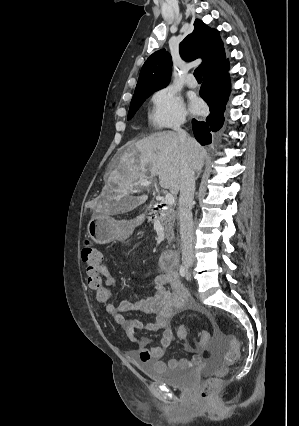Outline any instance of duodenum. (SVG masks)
<instances>
[{"mask_svg": "<svg viewBox=\"0 0 299 426\" xmlns=\"http://www.w3.org/2000/svg\"><path fill=\"white\" fill-rule=\"evenodd\" d=\"M161 267H174L178 263V253L175 250L164 251L159 258Z\"/></svg>", "mask_w": 299, "mask_h": 426, "instance_id": "410a0bca", "label": "duodenum"}]
</instances>
